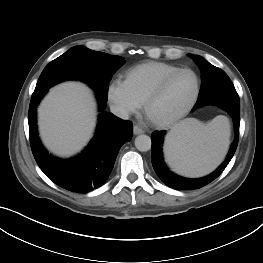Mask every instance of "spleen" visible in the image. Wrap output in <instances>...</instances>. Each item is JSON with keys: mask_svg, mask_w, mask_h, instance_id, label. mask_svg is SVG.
Instances as JSON below:
<instances>
[{"mask_svg": "<svg viewBox=\"0 0 263 263\" xmlns=\"http://www.w3.org/2000/svg\"><path fill=\"white\" fill-rule=\"evenodd\" d=\"M227 117L219 115L208 124L187 119L166 136L164 153L168 165L186 177H201L223 160L229 145Z\"/></svg>", "mask_w": 263, "mask_h": 263, "instance_id": "spleen-1", "label": "spleen"}]
</instances>
